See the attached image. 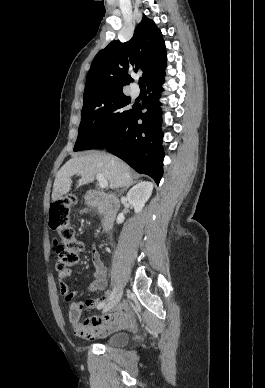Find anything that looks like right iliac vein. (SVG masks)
Wrapping results in <instances>:
<instances>
[{"label": "right iliac vein", "instance_id": "obj_1", "mask_svg": "<svg viewBox=\"0 0 265 388\" xmlns=\"http://www.w3.org/2000/svg\"><path fill=\"white\" fill-rule=\"evenodd\" d=\"M122 297V291L118 292L116 296H114L104 307L103 313L108 312L110 309H112L118 302L120 301Z\"/></svg>", "mask_w": 265, "mask_h": 388}]
</instances>
